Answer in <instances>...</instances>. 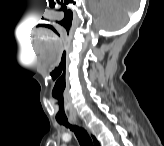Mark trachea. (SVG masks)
Segmentation results:
<instances>
[{
  "label": "trachea",
  "mask_w": 164,
  "mask_h": 146,
  "mask_svg": "<svg viewBox=\"0 0 164 146\" xmlns=\"http://www.w3.org/2000/svg\"><path fill=\"white\" fill-rule=\"evenodd\" d=\"M59 124L69 127L72 131H74L81 146H93L92 140L85 129L75 125H70L68 121H59Z\"/></svg>",
  "instance_id": "3493384b"
}]
</instances>
